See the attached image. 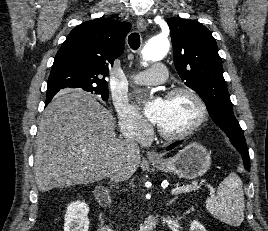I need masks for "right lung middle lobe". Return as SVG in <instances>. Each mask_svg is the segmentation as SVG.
Instances as JSON below:
<instances>
[{
  "label": "right lung middle lobe",
  "mask_w": 268,
  "mask_h": 231,
  "mask_svg": "<svg viewBox=\"0 0 268 231\" xmlns=\"http://www.w3.org/2000/svg\"><path fill=\"white\" fill-rule=\"evenodd\" d=\"M60 89H47V93H53V92H58ZM85 91L94 93V94H99L102 96L103 100H107L108 99V88H89Z\"/></svg>",
  "instance_id": "obj_1"
}]
</instances>
